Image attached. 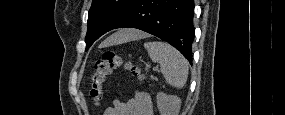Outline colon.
<instances>
[{"label": "colon", "mask_w": 285, "mask_h": 115, "mask_svg": "<svg viewBox=\"0 0 285 115\" xmlns=\"http://www.w3.org/2000/svg\"><path fill=\"white\" fill-rule=\"evenodd\" d=\"M123 67L138 78H142L141 69L130 61L113 52H105L103 58L96 61L94 71L90 76L89 96L99 105L104 97V85L113 70Z\"/></svg>", "instance_id": "colon-1"}]
</instances>
